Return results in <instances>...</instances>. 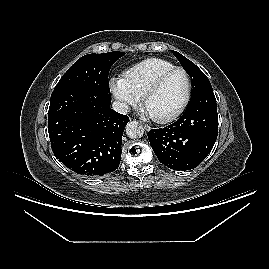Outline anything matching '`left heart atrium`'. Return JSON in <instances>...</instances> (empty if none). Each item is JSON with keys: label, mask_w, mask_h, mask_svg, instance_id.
Listing matches in <instances>:
<instances>
[{"label": "left heart atrium", "mask_w": 269, "mask_h": 269, "mask_svg": "<svg viewBox=\"0 0 269 269\" xmlns=\"http://www.w3.org/2000/svg\"><path fill=\"white\" fill-rule=\"evenodd\" d=\"M143 113L145 114V115H148V116H150V114L148 113V111L144 108V110H143Z\"/></svg>", "instance_id": "obj_1"}]
</instances>
